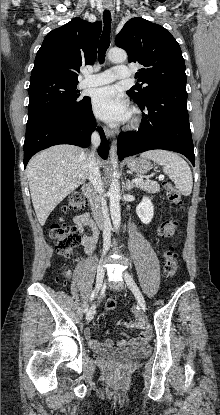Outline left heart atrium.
<instances>
[{
    "instance_id": "obj_1",
    "label": "left heart atrium",
    "mask_w": 220,
    "mask_h": 415,
    "mask_svg": "<svg viewBox=\"0 0 220 415\" xmlns=\"http://www.w3.org/2000/svg\"><path fill=\"white\" fill-rule=\"evenodd\" d=\"M92 106L96 116L104 121H124L130 116L129 106L115 86L95 90L92 95Z\"/></svg>"
}]
</instances>
